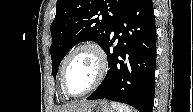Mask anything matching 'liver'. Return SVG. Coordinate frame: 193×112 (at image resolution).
I'll list each match as a JSON object with an SVG mask.
<instances>
[{
  "label": "liver",
  "instance_id": "obj_1",
  "mask_svg": "<svg viewBox=\"0 0 193 112\" xmlns=\"http://www.w3.org/2000/svg\"><path fill=\"white\" fill-rule=\"evenodd\" d=\"M92 103V101H78L75 103H70L67 104L65 106H63L60 111L61 112H77L80 109H83L85 107H87L88 105H90Z\"/></svg>",
  "mask_w": 193,
  "mask_h": 112
}]
</instances>
